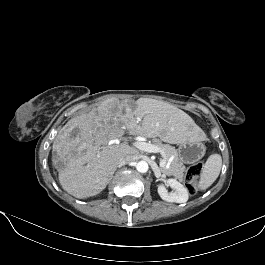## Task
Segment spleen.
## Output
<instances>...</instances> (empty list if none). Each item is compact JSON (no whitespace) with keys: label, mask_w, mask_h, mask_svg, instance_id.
<instances>
[{"label":"spleen","mask_w":265,"mask_h":265,"mask_svg":"<svg viewBox=\"0 0 265 265\" xmlns=\"http://www.w3.org/2000/svg\"><path fill=\"white\" fill-rule=\"evenodd\" d=\"M222 167V157L219 154H212L208 157L200 174L198 188L206 190L218 178Z\"/></svg>","instance_id":"obj_1"}]
</instances>
